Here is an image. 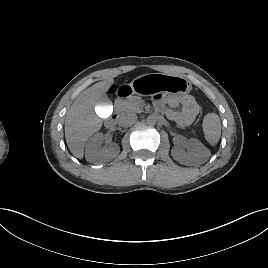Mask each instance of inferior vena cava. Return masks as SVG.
Listing matches in <instances>:
<instances>
[{"mask_svg": "<svg viewBox=\"0 0 268 268\" xmlns=\"http://www.w3.org/2000/svg\"><path fill=\"white\" fill-rule=\"evenodd\" d=\"M137 121V115L135 113H128L121 117L120 124L123 127L133 125Z\"/></svg>", "mask_w": 268, "mask_h": 268, "instance_id": "inferior-vena-cava-1", "label": "inferior vena cava"}]
</instances>
